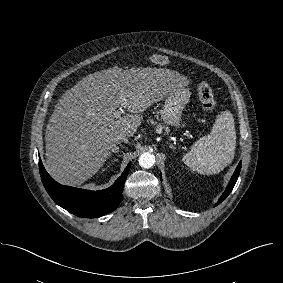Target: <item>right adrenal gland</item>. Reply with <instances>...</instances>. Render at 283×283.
<instances>
[{
  "label": "right adrenal gland",
  "instance_id": "2a0ac1e0",
  "mask_svg": "<svg viewBox=\"0 0 283 283\" xmlns=\"http://www.w3.org/2000/svg\"><path fill=\"white\" fill-rule=\"evenodd\" d=\"M118 144H119V142L113 145L111 153H115V154L119 153V146H118Z\"/></svg>",
  "mask_w": 283,
  "mask_h": 283
}]
</instances>
